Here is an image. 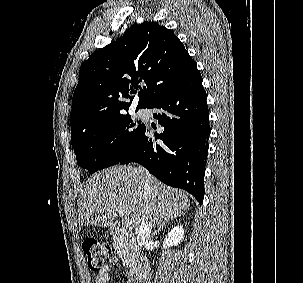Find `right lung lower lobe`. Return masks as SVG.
I'll return each mask as SVG.
<instances>
[{
  "instance_id": "obj_1",
  "label": "right lung lower lobe",
  "mask_w": 303,
  "mask_h": 283,
  "mask_svg": "<svg viewBox=\"0 0 303 283\" xmlns=\"http://www.w3.org/2000/svg\"><path fill=\"white\" fill-rule=\"evenodd\" d=\"M206 100L202 76L198 73L152 102L147 108L159 110L154 118L164 131L151 137L145 127L118 164L137 162L165 184L186 190L201 204L210 134Z\"/></svg>"
}]
</instances>
